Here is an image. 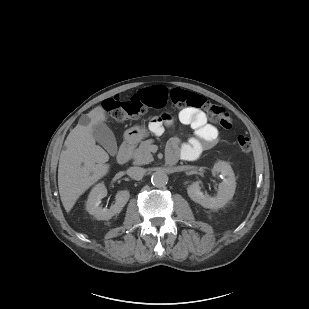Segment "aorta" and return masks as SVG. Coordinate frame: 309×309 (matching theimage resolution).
Segmentation results:
<instances>
[{"mask_svg":"<svg viewBox=\"0 0 309 309\" xmlns=\"http://www.w3.org/2000/svg\"><path fill=\"white\" fill-rule=\"evenodd\" d=\"M151 182L155 187H164L168 182V176L161 171L154 172L151 177Z\"/></svg>","mask_w":309,"mask_h":309,"instance_id":"obj_1","label":"aorta"}]
</instances>
